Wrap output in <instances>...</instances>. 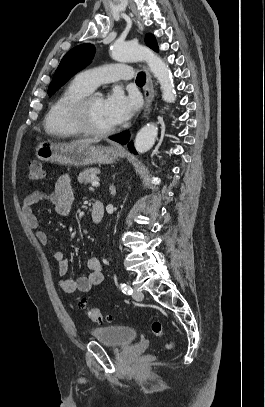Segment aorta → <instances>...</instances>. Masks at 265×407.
Returning a JSON list of instances; mask_svg holds the SVG:
<instances>
[{"label": "aorta", "instance_id": "obj_1", "mask_svg": "<svg viewBox=\"0 0 265 407\" xmlns=\"http://www.w3.org/2000/svg\"><path fill=\"white\" fill-rule=\"evenodd\" d=\"M111 57L120 62L146 61L150 71L158 80L162 99L171 103L176 99L173 76L168 65L150 49L135 42H115L112 46ZM158 127L149 123L143 126L135 138V148L139 153L147 152L155 143Z\"/></svg>", "mask_w": 265, "mask_h": 407}]
</instances>
